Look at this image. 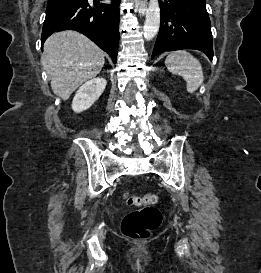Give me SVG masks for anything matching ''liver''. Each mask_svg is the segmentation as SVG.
Returning a JSON list of instances; mask_svg holds the SVG:
<instances>
[{
  "label": "liver",
  "mask_w": 261,
  "mask_h": 273,
  "mask_svg": "<svg viewBox=\"0 0 261 273\" xmlns=\"http://www.w3.org/2000/svg\"><path fill=\"white\" fill-rule=\"evenodd\" d=\"M104 56L84 35L63 31L46 40L41 64L51 77L52 91L65 101L82 83L99 74Z\"/></svg>",
  "instance_id": "6515ba94"
}]
</instances>
